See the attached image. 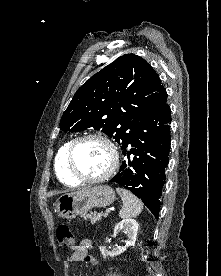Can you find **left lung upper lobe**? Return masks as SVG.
<instances>
[{"label":"left lung upper lobe","mask_w":221,"mask_h":276,"mask_svg":"<svg viewBox=\"0 0 221 276\" xmlns=\"http://www.w3.org/2000/svg\"><path fill=\"white\" fill-rule=\"evenodd\" d=\"M166 102L167 92L150 64L140 56L126 54L76 91L61 117L60 129H102L123 148Z\"/></svg>","instance_id":"5c2ea615"}]
</instances>
